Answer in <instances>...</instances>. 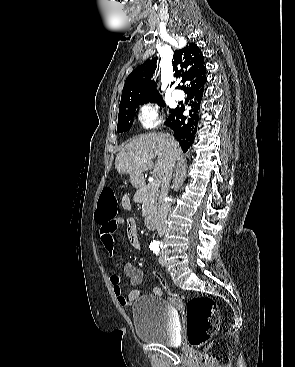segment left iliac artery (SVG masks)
Here are the masks:
<instances>
[{
    "instance_id": "left-iliac-artery-1",
    "label": "left iliac artery",
    "mask_w": 295,
    "mask_h": 367,
    "mask_svg": "<svg viewBox=\"0 0 295 367\" xmlns=\"http://www.w3.org/2000/svg\"><path fill=\"white\" fill-rule=\"evenodd\" d=\"M153 252H154L156 255H158V254H159V247H157V248L153 249Z\"/></svg>"
}]
</instances>
